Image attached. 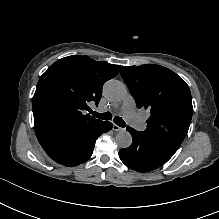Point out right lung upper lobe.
Masks as SVG:
<instances>
[{
	"label": "right lung upper lobe",
	"instance_id": "right-lung-upper-lobe-1",
	"mask_svg": "<svg viewBox=\"0 0 219 219\" xmlns=\"http://www.w3.org/2000/svg\"><path fill=\"white\" fill-rule=\"evenodd\" d=\"M120 67L79 55L52 64L41 76L33 97L35 131L101 122L84 111L89 104L98 105L103 84L115 77Z\"/></svg>",
	"mask_w": 219,
	"mask_h": 219
}]
</instances>
